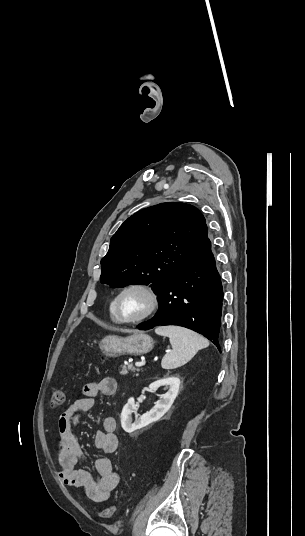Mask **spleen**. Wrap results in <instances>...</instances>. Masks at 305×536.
<instances>
[{"label":"spleen","mask_w":305,"mask_h":536,"mask_svg":"<svg viewBox=\"0 0 305 536\" xmlns=\"http://www.w3.org/2000/svg\"><path fill=\"white\" fill-rule=\"evenodd\" d=\"M158 336H167L173 348L165 354L161 366L163 370H175L190 362L198 350L208 348L209 342L192 330L180 326H160L155 330Z\"/></svg>","instance_id":"3e777b00"}]
</instances>
